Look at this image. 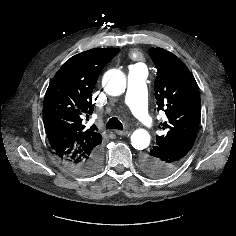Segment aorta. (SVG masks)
I'll return each mask as SVG.
<instances>
[{
	"label": "aorta",
	"mask_w": 236,
	"mask_h": 236,
	"mask_svg": "<svg viewBox=\"0 0 236 236\" xmlns=\"http://www.w3.org/2000/svg\"><path fill=\"white\" fill-rule=\"evenodd\" d=\"M104 90L111 96H119L125 92L126 77L121 70H108L103 76ZM150 144V134L145 129H137L131 135V145L143 150Z\"/></svg>",
	"instance_id": "obj_1"
}]
</instances>
